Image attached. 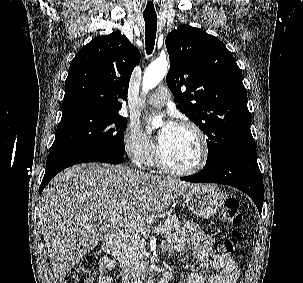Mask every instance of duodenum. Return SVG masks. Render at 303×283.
Instances as JSON below:
<instances>
[{
  "mask_svg": "<svg viewBox=\"0 0 303 283\" xmlns=\"http://www.w3.org/2000/svg\"><path fill=\"white\" fill-rule=\"evenodd\" d=\"M115 240H116V234L111 233L108 236L106 248L108 250H113L115 247ZM152 267L148 263H141L132 269L128 270V278L130 282H134L137 279H141L143 277H146L150 272H152Z\"/></svg>",
  "mask_w": 303,
  "mask_h": 283,
  "instance_id": "410a0bca",
  "label": "duodenum"
}]
</instances>
